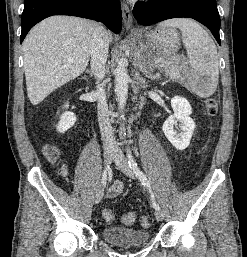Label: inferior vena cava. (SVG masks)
I'll use <instances>...</instances> for the list:
<instances>
[{
  "label": "inferior vena cava",
  "mask_w": 247,
  "mask_h": 257,
  "mask_svg": "<svg viewBox=\"0 0 247 257\" xmlns=\"http://www.w3.org/2000/svg\"><path fill=\"white\" fill-rule=\"evenodd\" d=\"M109 37L108 32L102 25H97L94 29L91 43V71L95 79L102 80L105 76V64L108 57ZM97 97L98 122L101 138L104 147H116L114 133L109 120L106 94L103 87H98L95 91Z\"/></svg>",
  "instance_id": "obj_1"
}]
</instances>
